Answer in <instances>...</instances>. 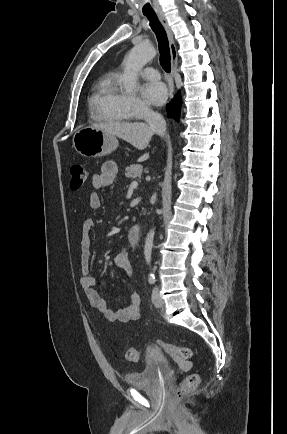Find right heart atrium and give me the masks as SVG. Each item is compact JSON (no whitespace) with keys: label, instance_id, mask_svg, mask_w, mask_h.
<instances>
[{"label":"right heart atrium","instance_id":"right-heart-atrium-1","mask_svg":"<svg viewBox=\"0 0 287 434\" xmlns=\"http://www.w3.org/2000/svg\"><path fill=\"white\" fill-rule=\"evenodd\" d=\"M122 106L130 116L134 117L152 112L150 107L136 95H123Z\"/></svg>","mask_w":287,"mask_h":434}]
</instances>
